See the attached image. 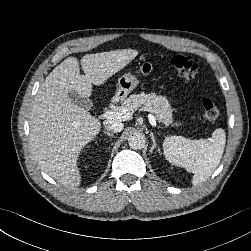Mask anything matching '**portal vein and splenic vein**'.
Here are the masks:
<instances>
[{"instance_id":"obj_1","label":"portal vein and splenic vein","mask_w":251,"mask_h":251,"mask_svg":"<svg viewBox=\"0 0 251 251\" xmlns=\"http://www.w3.org/2000/svg\"><path fill=\"white\" fill-rule=\"evenodd\" d=\"M132 116V112L126 108H117L114 111H106L102 114L103 119H110V120H118V121H126L129 120ZM149 122L153 127H156V119L153 115H149Z\"/></svg>"}]
</instances>
